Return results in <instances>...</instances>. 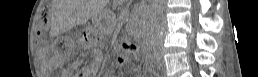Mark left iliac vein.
Instances as JSON below:
<instances>
[{
	"label": "left iliac vein",
	"mask_w": 258,
	"mask_h": 77,
	"mask_svg": "<svg viewBox=\"0 0 258 77\" xmlns=\"http://www.w3.org/2000/svg\"><path fill=\"white\" fill-rule=\"evenodd\" d=\"M158 59L161 64H164V60L162 59L161 54H158Z\"/></svg>",
	"instance_id": "4c4485c4"
}]
</instances>
